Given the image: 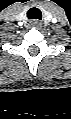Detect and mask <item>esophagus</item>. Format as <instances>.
Returning <instances> with one entry per match:
<instances>
[{"label": "esophagus", "mask_w": 71, "mask_h": 119, "mask_svg": "<svg viewBox=\"0 0 71 119\" xmlns=\"http://www.w3.org/2000/svg\"><path fill=\"white\" fill-rule=\"evenodd\" d=\"M31 24H32L34 27H37V28L41 27V22L38 21V20H33V21L31 22Z\"/></svg>", "instance_id": "obj_1"}]
</instances>
